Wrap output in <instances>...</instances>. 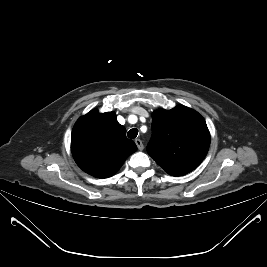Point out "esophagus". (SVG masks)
Returning <instances> with one entry per match:
<instances>
[{
  "label": "esophagus",
  "mask_w": 267,
  "mask_h": 267,
  "mask_svg": "<svg viewBox=\"0 0 267 267\" xmlns=\"http://www.w3.org/2000/svg\"><path fill=\"white\" fill-rule=\"evenodd\" d=\"M135 143H136V145H137L139 150H143L144 149V145H143V143H142V141L140 139H136Z\"/></svg>",
  "instance_id": "1"
}]
</instances>
